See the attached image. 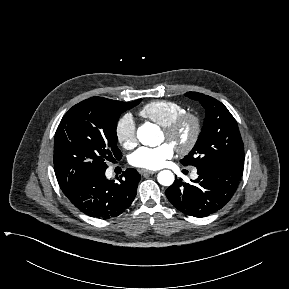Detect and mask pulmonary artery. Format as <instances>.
<instances>
[{
	"label": "pulmonary artery",
	"instance_id": "pulmonary-artery-1",
	"mask_svg": "<svg viewBox=\"0 0 289 289\" xmlns=\"http://www.w3.org/2000/svg\"><path fill=\"white\" fill-rule=\"evenodd\" d=\"M192 176H193V177H196V176H197L196 172H193Z\"/></svg>",
	"mask_w": 289,
	"mask_h": 289
}]
</instances>
